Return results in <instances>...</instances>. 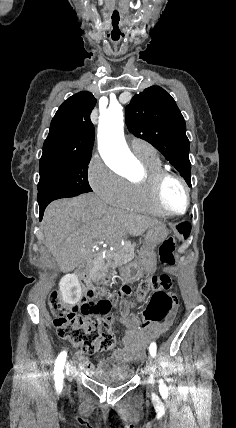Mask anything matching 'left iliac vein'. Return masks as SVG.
<instances>
[{
  "instance_id": "4c4485c4",
  "label": "left iliac vein",
  "mask_w": 236,
  "mask_h": 428,
  "mask_svg": "<svg viewBox=\"0 0 236 428\" xmlns=\"http://www.w3.org/2000/svg\"><path fill=\"white\" fill-rule=\"evenodd\" d=\"M146 366L144 367V370L147 372V373H150L152 370H153V368L155 367V364H154V360H153V357H148V358H146Z\"/></svg>"
}]
</instances>
